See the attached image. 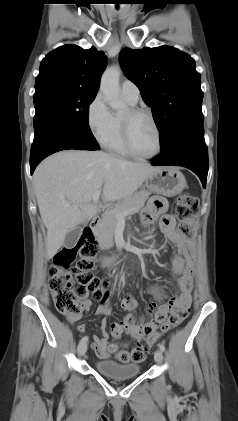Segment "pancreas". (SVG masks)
Masks as SVG:
<instances>
[{
	"instance_id": "1",
	"label": "pancreas",
	"mask_w": 238,
	"mask_h": 421,
	"mask_svg": "<svg viewBox=\"0 0 238 421\" xmlns=\"http://www.w3.org/2000/svg\"><path fill=\"white\" fill-rule=\"evenodd\" d=\"M151 193L146 190H141L131 196L119 201L113 210L107 211L96 229L94 234L97 238L100 248L110 249L114 246V234L117 223L119 221L117 214L126 210H133L138 212L144 207L146 200Z\"/></svg>"
}]
</instances>
